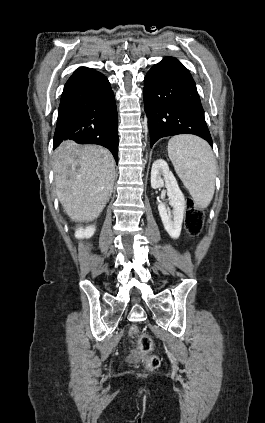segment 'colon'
Returning a JSON list of instances; mask_svg holds the SVG:
<instances>
[{"mask_svg":"<svg viewBox=\"0 0 265 423\" xmlns=\"http://www.w3.org/2000/svg\"><path fill=\"white\" fill-rule=\"evenodd\" d=\"M204 223V216L202 211L195 205L191 199L187 200L186 213V229L191 235H198L202 231ZM130 331L138 336V350L139 354L145 356L144 363L147 369H156L160 364L159 357L155 355H148L152 348L153 342L151 337L146 333H141L136 325L130 327Z\"/></svg>","mask_w":265,"mask_h":423,"instance_id":"obj_1","label":"colon"}]
</instances>
